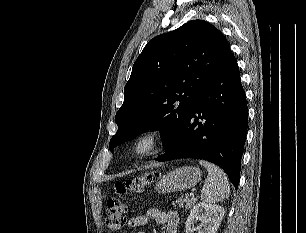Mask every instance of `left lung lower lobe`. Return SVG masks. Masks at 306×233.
Returning <instances> with one entry per match:
<instances>
[{
  "label": "left lung lower lobe",
  "mask_w": 306,
  "mask_h": 233,
  "mask_svg": "<svg viewBox=\"0 0 306 233\" xmlns=\"http://www.w3.org/2000/svg\"><path fill=\"white\" fill-rule=\"evenodd\" d=\"M247 117L245 92L236 59L230 51L166 146V153L156 160L188 157L208 160L220 166L237 189Z\"/></svg>",
  "instance_id": "obj_1"
}]
</instances>
